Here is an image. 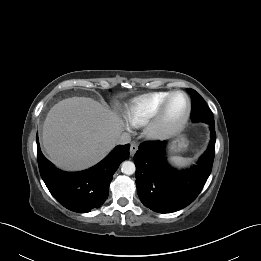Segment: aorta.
<instances>
[{
  "mask_svg": "<svg viewBox=\"0 0 261 261\" xmlns=\"http://www.w3.org/2000/svg\"><path fill=\"white\" fill-rule=\"evenodd\" d=\"M135 170V164L131 161H124L121 165V171L126 175L134 174Z\"/></svg>",
  "mask_w": 261,
  "mask_h": 261,
  "instance_id": "1",
  "label": "aorta"
}]
</instances>
